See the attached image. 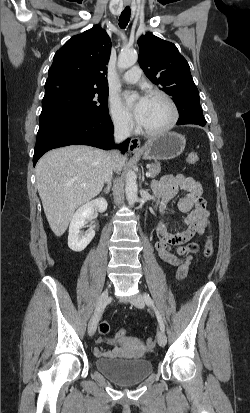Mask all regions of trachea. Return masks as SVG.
<instances>
[{
  "label": "trachea",
  "mask_w": 250,
  "mask_h": 413,
  "mask_svg": "<svg viewBox=\"0 0 250 413\" xmlns=\"http://www.w3.org/2000/svg\"><path fill=\"white\" fill-rule=\"evenodd\" d=\"M130 7L127 6L125 9L122 11L120 18H119V26L120 28H125L128 25V22L130 20Z\"/></svg>",
  "instance_id": "3493384b"
}]
</instances>
